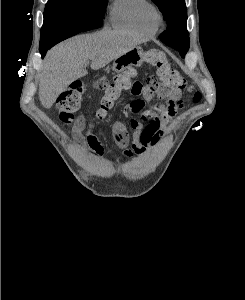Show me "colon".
Wrapping results in <instances>:
<instances>
[{"label":"colon","mask_w":245,"mask_h":300,"mask_svg":"<svg viewBox=\"0 0 245 300\" xmlns=\"http://www.w3.org/2000/svg\"><path fill=\"white\" fill-rule=\"evenodd\" d=\"M146 59L157 70V78H151L146 84L153 93H160L170 101H178L182 92L190 89L187 81L171 66L163 52L151 50L147 53ZM134 75V69H127L114 75L112 79L101 76L94 81L95 88L105 91L100 106L94 113L96 119L102 120L106 117L124 90L135 88L136 82H132ZM85 92V84L82 81H75L62 93L57 104L60 111L59 117L63 123L73 122L74 114L80 108ZM200 98V93L196 92L192 97V102L196 103ZM130 105L134 110H140L144 103L140 99H135Z\"/></svg>","instance_id":"1"}]
</instances>
